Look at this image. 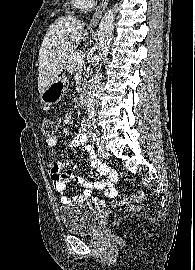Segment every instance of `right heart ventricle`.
Returning <instances> with one entry per match:
<instances>
[{
    "label": "right heart ventricle",
    "mask_w": 195,
    "mask_h": 270,
    "mask_svg": "<svg viewBox=\"0 0 195 270\" xmlns=\"http://www.w3.org/2000/svg\"><path fill=\"white\" fill-rule=\"evenodd\" d=\"M71 3L74 7L80 10H86L89 7V5L84 0H71Z\"/></svg>",
    "instance_id": "obj_1"
}]
</instances>
